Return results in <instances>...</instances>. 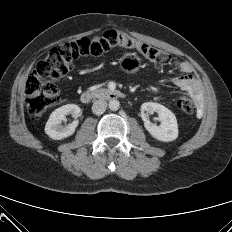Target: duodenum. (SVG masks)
Segmentation results:
<instances>
[{
  "label": "duodenum",
  "mask_w": 232,
  "mask_h": 232,
  "mask_svg": "<svg viewBox=\"0 0 232 232\" xmlns=\"http://www.w3.org/2000/svg\"><path fill=\"white\" fill-rule=\"evenodd\" d=\"M124 94L117 90H86L80 95V100L82 103L87 104L94 99L102 98L108 100H115L123 97Z\"/></svg>",
  "instance_id": "410a0bca"
}]
</instances>
